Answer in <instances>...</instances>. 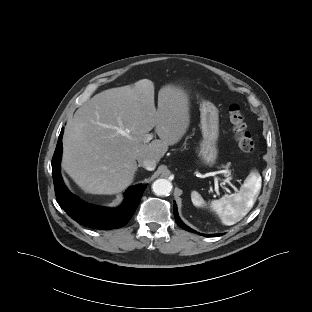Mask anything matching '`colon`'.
<instances>
[{
	"mask_svg": "<svg viewBox=\"0 0 312 312\" xmlns=\"http://www.w3.org/2000/svg\"><path fill=\"white\" fill-rule=\"evenodd\" d=\"M228 115L239 149L246 153L252 152L254 140L245 123L241 107L238 104L230 105Z\"/></svg>",
	"mask_w": 312,
	"mask_h": 312,
	"instance_id": "obj_1",
	"label": "colon"
}]
</instances>
